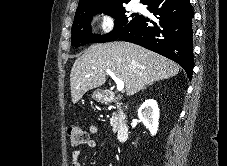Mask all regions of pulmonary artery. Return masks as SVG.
I'll return each mask as SVG.
<instances>
[{"instance_id": "pulmonary-artery-1", "label": "pulmonary artery", "mask_w": 227, "mask_h": 166, "mask_svg": "<svg viewBox=\"0 0 227 166\" xmlns=\"http://www.w3.org/2000/svg\"><path fill=\"white\" fill-rule=\"evenodd\" d=\"M133 7H134L135 10H141L142 9V6L140 4H135Z\"/></svg>"}]
</instances>
